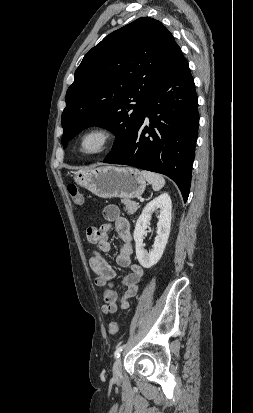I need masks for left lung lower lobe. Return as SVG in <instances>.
Instances as JSON below:
<instances>
[{
  "instance_id": "obj_1",
  "label": "left lung lower lobe",
  "mask_w": 253,
  "mask_h": 413,
  "mask_svg": "<svg viewBox=\"0 0 253 413\" xmlns=\"http://www.w3.org/2000/svg\"><path fill=\"white\" fill-rule=\"evenodd\" d=\"M149 126H143L145 118ZM199 125L198 98L181 49L167 76L146 104L129 144L105 163L123 164L164 174L187 201ZM148 134V135H147Z\"/></svg>"
}]
</instances>
